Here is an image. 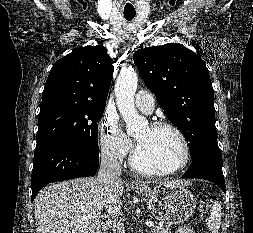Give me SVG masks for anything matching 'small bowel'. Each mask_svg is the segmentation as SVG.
<instances>
[{"instance_id": "obj_1", "label": "small bowel", "mask_w": 253, "mask_h": 233, "mask_svg": "<svg viewBox=\"0 0 253 233\" xmlns=\"http://www.w3.org/2000/svg\"><path fill=\"white\" fill-rule=\"evenodd\" d=\"M176 233H195L191 227L185 226L180 228Z\"/></svg>"}]
</instances>
